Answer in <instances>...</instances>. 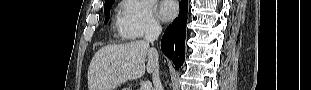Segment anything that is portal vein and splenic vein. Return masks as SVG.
Instances as JSON below:
<instances>
[{
	"label": "portal vein and splenic vein",
	"mask_w": 311,
	"mask_h": 90,
	"mask_svg": "<svg viewBox=\"0 0 311 90\" xmlns=\"http://www.w3.org/2000/svg\"><path fill=\"white\" fill-rule=\"evenodd\" d=\"M151 86L152 85L150 81H145L141 86V90H151Z\"/></svg>",
	"instance_id": "1"
}]
</instances>
